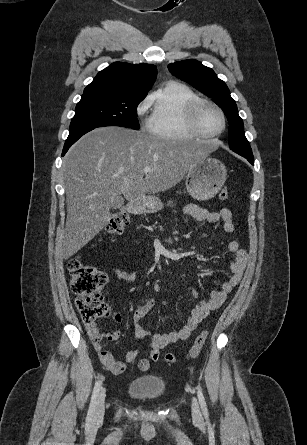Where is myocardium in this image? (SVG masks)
<instances>
[{"mask_svg":"<svg viewBox=\"0 0 307 445\" xmlns=\"http://www.w3.org/2000/svg\"><path fill=\"white\" fill-rule=\"evenodd\" d=\"M206 105L212 106V107L216 108L217 110H219V112L221 113V115L223 117L224 128L221 132H219L217 134H211V133L207 132L201 123L200 113H201L202 108ZM188 117H189L190 124H191L192 128L194 129V131L196 132V134H198L199 136H201L203 138L219 137L227 130V127H228L227 113L219 104H217L213 101H209V100H205V99L196 100L190 106V108L188 110Z\"/></svg>","mask_w":307,"mask_h":445,"instance_id":"f54148a6","label":"myocardium"}]
</instances>
